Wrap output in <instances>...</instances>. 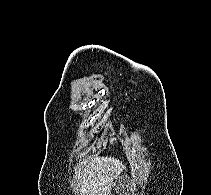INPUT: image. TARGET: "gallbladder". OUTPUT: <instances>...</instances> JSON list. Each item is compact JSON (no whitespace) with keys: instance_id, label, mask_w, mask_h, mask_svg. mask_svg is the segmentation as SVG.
Listing matches in <instances>:
<instances>
[{"instance_id":"obj_1","label":"gallbladder","mask_w":211,"mask_h":195,"mask_svg":"<svg viewBox=\"0 0 211 195\" xmlns=\"http://www.w3.org/2000/svg\"><path fill=\"white\" fill-rule=\"evenodd\" d=\"M125 182V181H124ZM126 183V182H125ZM120 184V181H119V183H117V186H116V188H117V190H119L120 192H123L124 193V195H127V192H128V187H127V185L126 184Z\"/></svg>"}]
</instances>
